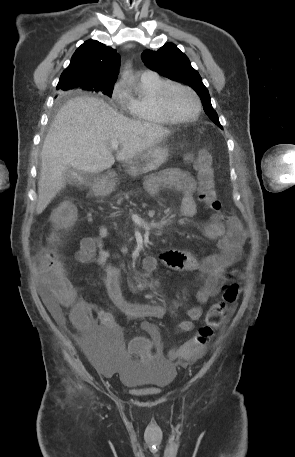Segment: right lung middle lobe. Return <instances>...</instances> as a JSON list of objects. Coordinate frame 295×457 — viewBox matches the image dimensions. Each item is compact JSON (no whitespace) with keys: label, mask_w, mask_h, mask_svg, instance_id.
Masks as SVG:
<instances>
[{"label":"right lung middle lobe","mask_w":295,"mask_h":457,"mask_svg":"<svg viewBox=\"0 0 295 457\" xmlns=\"http://www.w3.org/2000/svg\"><path fill=\"white\" fill-rule=\"evenodd\" d=\"M73 88H83V89H88L89 86L85 83H79V84H74L72 85ZM113 88H114V85H106V86H101V87H98V88H94L93 90H91L92 92H100L104 95H107L109 97H111L112 95V92H113Z\"/></svg>","instance_id":"obj_1"}]
</instances>
